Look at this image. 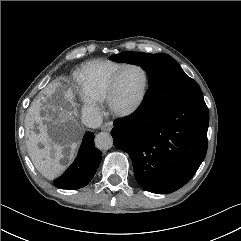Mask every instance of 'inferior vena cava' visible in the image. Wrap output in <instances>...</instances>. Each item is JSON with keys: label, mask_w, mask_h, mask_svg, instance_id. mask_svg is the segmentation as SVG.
Listing matches in <instances>:
<instances>
[{"label": "inferior vena cava", "mask_w": 241, "mask_h": 241, "mask_svg": "<svg viewBox=\"0 0 241 241\" xmlns=\"http://www.w3.org/2000/svg\"><path fill=\"white\" fill-rule=\"evenodd\" d=\"M82 120L88 127H97L101 124L102 117L94 108H86Z\"/></svg>", "instance_id": "inferior-vena-cava-1"}]
</instances>
